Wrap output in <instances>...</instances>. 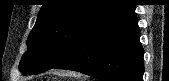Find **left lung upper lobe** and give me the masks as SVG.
<instances>
[{"label": "left lung upper lobe", "mask_w": 169, "mask_h": 81, "mask_svg": "<svg viewBox=\"0 0 169 81\" xmlns=\"http://www.w3.org/2000/svg\"><path fill=\"white\" fill-rule=\"evenodd\" d=\"M116 0H47L27 39L19 69L39 74L52 69L71 51L81 32Z\"/></svg>", "instance_id": "1"}]
</instances>
